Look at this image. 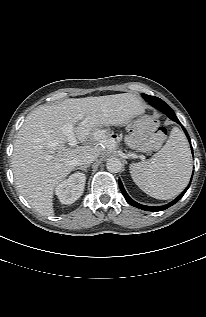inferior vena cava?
I'll list each match as a JSON object with an SVG mask.
<instances>
[{
	"instance_id": "602c4592",
	"label": "inferior vena cava",
	"mask_w": 206,
	"mask_h": 317,
	"mask_svg": "<svg viewBox=\"0 0 206 317\" xmlns=\"http://www.w3.org/2000/svg\"><path fill=\"white\" fill-rule=\"evenodd\" d=\"M97 157H98L97 154L88 152L76 158L75 164L77 166L90 165L93 161L97 159Z\"/></svg>"
}]
</instances>
